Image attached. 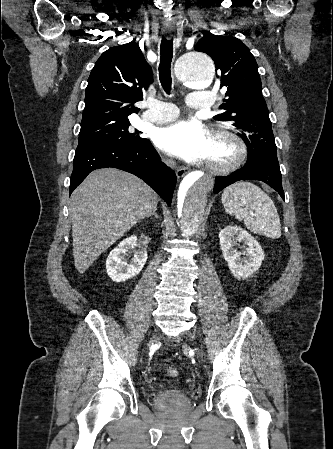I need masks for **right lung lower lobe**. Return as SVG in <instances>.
<instances>
[{"label": "right lung lower lobe", "instance_id": "obj_1", "mask_svg": "<svg viewBox=\"0 0 333 449\" xmlns=\"http://www.w3.org/2000/svg\"><path fill=\"white\" fill-rule=\"evenodd\" d=\"M73 162L74 167L69 187L70 194L91 171L114 167L143 179L168 205L171 204L176 185V175L161 162L157 151L148 139L140 146L121 144L78 146Z\"/></svg>", "mask_w": 333, "mask_h": 449}]
</instances>
